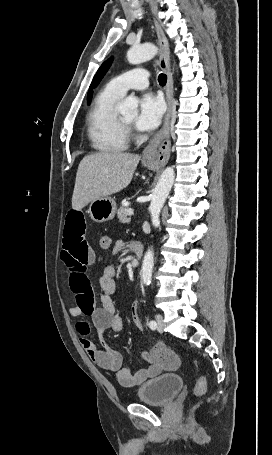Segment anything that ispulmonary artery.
<instances>
[{"mask_svg":"<svg viewBox=\"0 0 272 455\" xmlns=\"http://www.w3.org/2000/svg\"><path fill=\"white\" fill-rule=\"evenodd\" d=\"M148 84V71L143 68H136L113 78L107 87L119 96H123L130 89L142 90Z\"/></svg>","mask_w":272,"mask_h":455,"instance_id":"1","label":"pulmonary artery"}]
</instances>
